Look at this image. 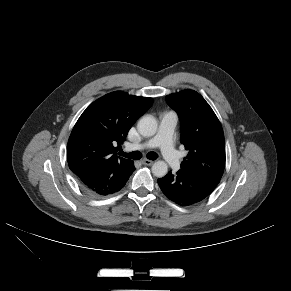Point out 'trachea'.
Returning <instances> with one entry per match:
<instances>
[{
    "label": "trachea",
    "instance_id": "obj_1",
    "mask_svg": "<svg viewBox=\"0 0 291 291\" xmlns=\"http://www.w3.org/2000/svg\"><path fill=\"white\" fill-rule=\"evenodd\" d=\"M119 154L123 157L129 158V159H134V160H139L142 157V154L139 151H133L130 153H125L123 151H120ZM147 158L150 160H155L158 158V154L155 152H149L147 154Z\"/></svg>",
    "mask_w": 291,
    "mask_h": 291
}]
</instances>
